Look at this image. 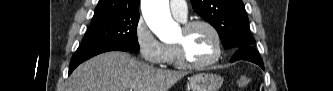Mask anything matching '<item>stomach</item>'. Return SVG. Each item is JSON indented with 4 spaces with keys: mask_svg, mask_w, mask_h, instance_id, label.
<instances>
[{
    "mask_svg": "<svg viewBox=\"0 0 333 91\" xmlns=\"http://www.w3.org/2000/svg\"><path fill=\"white\" fill-rule=\"evenodd\" d=\"M189 83L192 91H218L223 78L213 73H200L191 77Z\"/></svg>",
    "mask_w": 333,
    "mask_h": 91,
    "instance_id": "1",
    "label": "stomach"
}]
</instances>
